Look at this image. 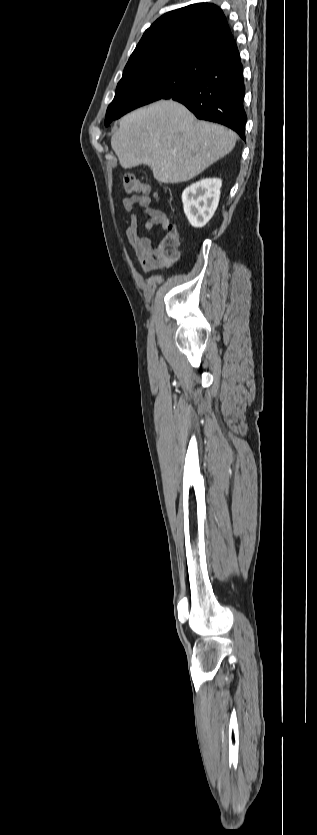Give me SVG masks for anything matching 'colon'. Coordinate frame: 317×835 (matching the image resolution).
<instances>
[{"instance_id": "obj_1", "label": "colon", "mask_w": 317, "mask_h": 835, "mask_svg": "<svg viewBox=\"0 0 317 835\" xmlns=\"http://www.w3.org/2000/svg\"><path fill=\"white\" fill-rule=\"evenodd\" d=\"M121 182L124 191L128 194L146 195L150 192L149 185L133 174H125ZM179 245V232L174 224L169 223L166 227V235L160 242L158 249L163 256L174 260L178 255Z\"/></svg>"}]
</instances>
